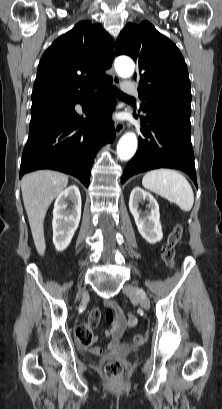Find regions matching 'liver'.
Listing matches in <instances>:
<instances>
[{"label": "liver", "instance_id": "1", "mask_svg": "<svg viewBox=\"0 0 222 409\" xmlns=\"http://www.w3.org/2000/svg\"><path fill=\"white\" fill-rule=\"evenodd\" d=\"M68 176L51 170H39L21 180L22 198L27 212L34 244L39 255H44L46 244L43 223L52 201L66 188Z\"/></svg>", "mask_w": 222, "mask_h": 409}]
</instances>
